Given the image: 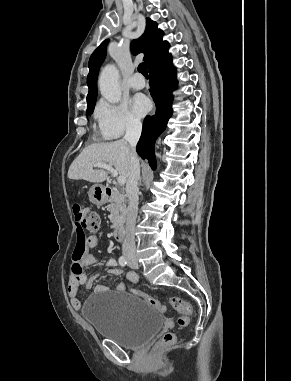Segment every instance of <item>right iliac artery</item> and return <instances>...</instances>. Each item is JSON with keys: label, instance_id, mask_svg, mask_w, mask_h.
I'll return each mask as SVG.
<instances>
[{"label": "right iliac artery", "instance_id": "1", "mask_svg": "<svg viewBox=\"0 0 291 381\" xmlns=\"http://www.w3.org/2000/svg\"><path fill=\"white\" fill-rule=\"evenodd\" d=\"M119 264H120L121 266H126V265H127V260H126V258H125L124 256H121V257L119 258Z\"/></svg>", "mask_w": 291, "mask_h": 381}]
</instances>
